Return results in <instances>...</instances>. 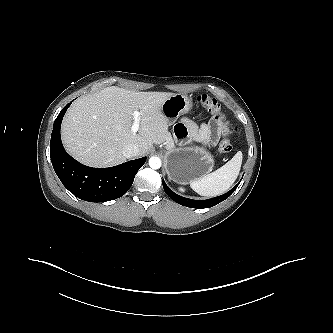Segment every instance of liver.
Here are the masks:
<instances>
[{"instance_id":"obj_1","label":"liver","mask_w":333,"mask_h":333,"mask_svg":"<svg viewBox=\"0 0 333 333\" xmlns=\"http://www.w3.org/2000/svg\"><path fill=\"white\" fill-rule=\"evenodd\" d=\"M173 93L137 92L111 86L82 96L68 109L61 127L66 150L95 167L123 163L125 145L135 144L145 155L169 135L162 104ZM140 111L138 134L131 131L133 111Z\"/></svg>"}]
</instances>
